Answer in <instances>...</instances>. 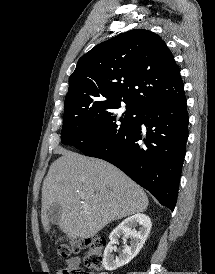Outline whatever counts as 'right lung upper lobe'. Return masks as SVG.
Here are the masks:
<instances>
[{
  "instance_id": "obj_1",
  "label": "right lung upper lobe",
  "mask_w": 215,
  "mask_h": 274,
  "mask_svg": "<svg viewBox=\"0 0 215 274\" xmlns=\"http://www.w3.org/2000/svg\"><path fill=\"white\" fill-rule=\"evenodd\" d=\"M183 96L180 70L165 42L151 31L135 29L79 59L65 102L121 101L141 109Z\"/></svg>"
}]
</instances>
